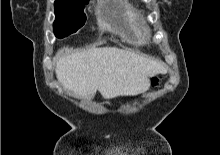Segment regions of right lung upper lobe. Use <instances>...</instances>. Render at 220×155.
Masks as SVG:
<instances>
[{
	"mask_svg": "<svg viewBox=\"0 0 220 155\" xmlns=\"http://www.w3.org/2000/svg\"><path fill=\"white\" fill-rule=\"evenodd\" d=\"M55 2H79V3H84V2H88V0H56Z\"/></svg>",
	"mask_w": 220,
	"mask_h": 155,
	"instance_id": "right-lung-upper-lobe-1",
	"label": "right lung upper lobe"
}]
</instances>
